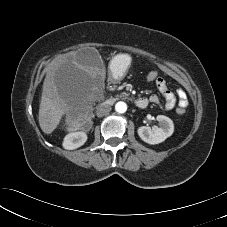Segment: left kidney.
Here are the masks:
<instances>
[{
	"instance_id": "left-kidney-1",
	"label": "left kidney",
	"mask_w": 227,
	"mask_h": 227,
	"mask_svg": "<svg viewBox=\"0 0 227 227\" xmlns=\"http://www.w3.org/2000/svg\"><path fill=\"white\" fill-rule=\"evenodd\" d=\"M156 119L159 122V127L141 126L137 130L139 137L148 144H159L174 132V124L169 117L158 115Z\"/></svg>"
}]
</instances>
